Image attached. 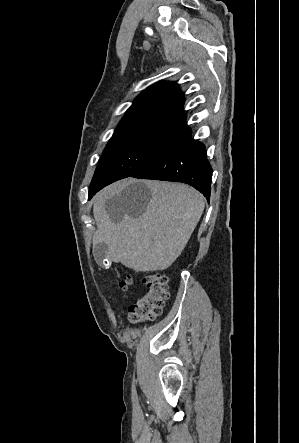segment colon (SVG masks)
Instances as JSON below:
<instances>
[{
	"instance_id": "5ec220e1",
	"label": "colon",
	"mask_w": 299,
	"mask_h": 443,
	"mask_svg": "<svg viewBox=\"0 0 299 443\" xmlns=\"http://www.w3.org/2000/svg\"><path fill=\"white\" fill-rule=\"evenodd\" d=\"M145 293L137 298L128 308L131 322L139 323L157 318L163 310L164 302L168 297L167 279L158 272L149 273L144 277ZM131 284V278L124 276L119 281V287L126 289Z\"/></svg>"
}]
</instances>
